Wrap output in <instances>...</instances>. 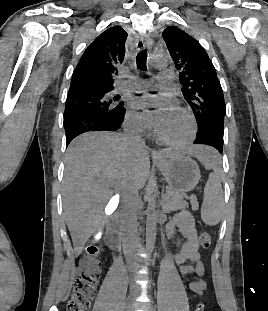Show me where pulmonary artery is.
Wrapping results in <instances>:
<instances>
[{
	"label": "pulmonary artery",
	"instance_id": "1",
	"mask_svg": "<svg viewBox=\"0 0 268 311\" xmlns=\"http://www.w3.org/2000/svg\"><path fill=\"white\" fill-rule=\"evenodd\" d=\"M174 78V73L170 69H165L160 72L158 75L157 79L160 82H170ZM135 82L131 83L129 81H124L121 85V89H130V88H145L151 85V80L148 79H140V78H135Z\"/></svg>",
	"mask_w": 268,
	"mask_h": 311
}]
</instances>
